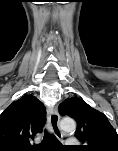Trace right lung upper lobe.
Masks as SVG:
<instances>
[{
    "label": "right lung upper lobe",
    "mask_w": 118,
    "mask_h": 151,
    "mask_svg": "<svg viewBox=\"0 0 118 151\" xmlns=\"http://www.w3.org/2000/svg\"><path fill=\"white\" fill-rule=\"evenodd\" d=\"M46 109L33 95H24L14 101L0 115V151H27L29 143L42 132Z\"/></svg>",
    "instance_id": "obj_1"
}]
</instances>
